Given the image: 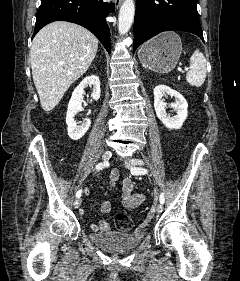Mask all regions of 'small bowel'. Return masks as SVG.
Masks as SVG:
<instances>
[{"instance_id":"obj_1","label":"small bowel","mask_w":240,"mask_h":281,"mask_svg":"<svg viewBox=\"0 0 240 281\" xmlns=\"http://www.w3.org/2000/svg\"><path fill=\"white\" fill-rule=\"evenodd\" d=\"M120 179V173L117 169H113L110 172V179H109V185L110 187H114L117 183V181ZM122 182V204L127 209H135L138 206H140L144 200L145 195L143 193H133L134 185L132 180L124 176L121 178ZM85 194H89V190H85ZM112 210V203L109 200H104L101 204V211L104 214L110 213ZM81 213L83 214V210H81ZM90 228L94 232H103L108 231L110 229V224L106 219H102L97 223H93L90 225Z\"/></svg>"}]
</instances>
